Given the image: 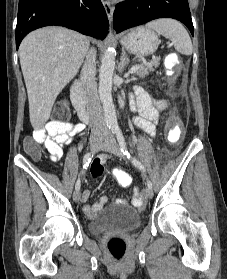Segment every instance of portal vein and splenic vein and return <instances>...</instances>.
<instances>
[{
  "label": "portal vein and splenic vein",
  "mask_w": 227,
  "mask_h": 279,
  "mask_svg": "<svg viewBox=\"0 0 227 279\" xmlns=\"http://www.w3.org/2000/svg\"><path fill=\"white\" fill-rule=\"evenodd\" d=\"M138 68H139V65H134L133 67H131L129 72L130 73H134V72H136L138 70Z\"/></svg>",
  "instance_id": "18ae733b"
}]
</instances>
